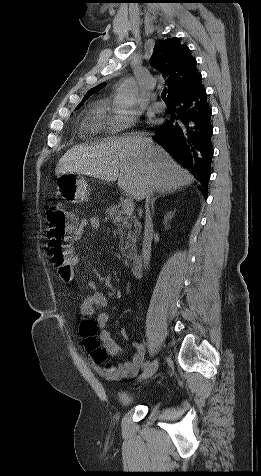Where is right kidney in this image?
Returning <instances> with one entry per match:
<instances>
[{
  "instance_id": "right-kidney-1",
  "label": "right kidney",
  "mask_w": 261,
  "mask_h": 476,
  "mask_svg": "<svg viewBox=\"0 0 261 476\" xmlns=\"http://www.w3.org/2000/svg\"><path fill=\"white\" fill-rule=\"evenodd\" d=\"M173 217V213H168L165 218H164V224L167 225V222L169 219H171Z\"/></svg>"
}]
</instances>
